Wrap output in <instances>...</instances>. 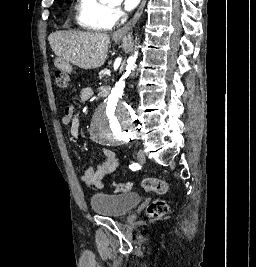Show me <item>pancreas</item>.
<instances>
[{
  "mask_svg": "<svg viewBox=\"0 0 256 267\" xmlns=\"http://www.w3.org/2000/svg\"><path fill=\"white\" fill-rule=\"evenodd\" d=\"M99 78H103V74H100Z\"/></svg>",
  "mask_w": 256,
  "mask_h": 267,
  "instance_id": "pancreas-1",
  "label": "pancreas"
}]
</instances>
